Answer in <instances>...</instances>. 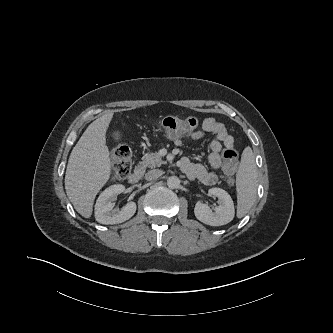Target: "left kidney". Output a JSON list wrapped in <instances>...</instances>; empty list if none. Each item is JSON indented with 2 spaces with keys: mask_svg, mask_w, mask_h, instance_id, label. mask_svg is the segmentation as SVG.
<instances>
[{
  "mask_svg": "<svg viewBox=\"0 0 333 333\" xmlns=\"http://www.w3.org/2000/svg\"><path fill=\"white\" fill-rule=\"evenodd\" d=\"M208 193L218 197L220 205L214 212L209 206L197 202L194 208L196 218L204 224L211 226H221L231 222L235 215L234 203L231 196L221 188H211Z\"/></svg>",
  "mask_w": 333,
  "mask_h": 333,
  "instance_id": "obj_1",
  "label": "left kidney"
}]
</instances>
